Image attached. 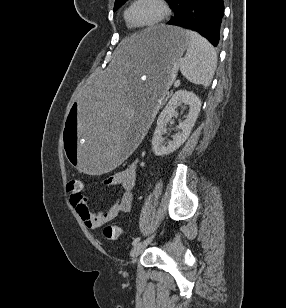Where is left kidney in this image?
I'll return each instance as SVG.
<instances>
[{"mask_svg": "<svg viewBox=\"0 0 286 308\" xmlns=\"http://www.w3.org/2000/svg\"><path fill=\"white\" fill-rule=\"evenodd\" d=\"M182 103L188 105V114L185 120L179 123L180 131L171 141H165L163 134L167 122L174 116L176 108ZM201 108V100L193 93L179 90L174 93L157 119V126L152 138V150L156 156H163L178 149L189 137Z\"/></svg>", "mask_w": 286, "mask_h": 308, "instance_id": "obj_1", "label": "left kidney"}]
</instances>
